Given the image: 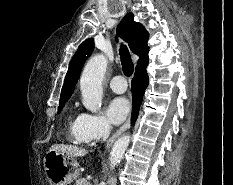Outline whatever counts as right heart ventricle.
Masks as SVG:
<instances>
[{"label": "right heart ventricle", "instance_id": "1", "mask_svg": "<svg viewBox=\"0 0 233 185\" xmlns=\"http://www.w3.org/2000/svg\"><path fill=\"white\" fill-rule=\"evenodd\" d=\"M79 121H80V115L75 116L70 114L67 117V125H68L69 133L73 138V140L77 143L83 142L79 134Z\"/></svg>", "mask_w": 233, "mask_h": 185}]
</instances>
